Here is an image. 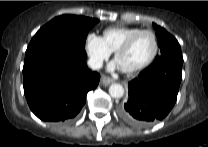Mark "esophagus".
<instances>
[{
  "label": "esophagus",
  "instance_id": "obj_1",
  "mask_svg": "<svg viewBox=\"0 0 208 147\" xmlns=\"http://www.w3.org/2000/svg\"><path fill=\"white\" fill-rule=\"evenodd\" d=\"M114 82L113 79L107 77V76H102L101 78V83L104 85V86H109L110 84H112Z\"/></svg>",
  "mask_w": 208,
  "mask_h": 147
}]
</instances>
